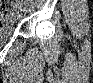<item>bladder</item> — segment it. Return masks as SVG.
Instances as JSON below:
<instances>
[{
	"label": "bladder",
	"instance_id": "1",
	"mask_svg": "<svg viewBox=\"0 0 93 83\" xmlns=\"http://www.w3.org/2000/svg\"><path fill=\"white\" fill-rule=\"evenodd\" d=\"M12 28L11 27H1V36L2 37H8L12 34Z\"/></svg>",
	"mask_w": 93,
	"mask_h": 83
}]
</instances>
